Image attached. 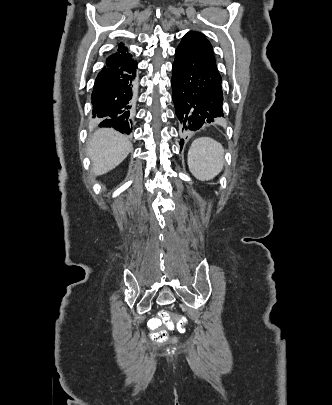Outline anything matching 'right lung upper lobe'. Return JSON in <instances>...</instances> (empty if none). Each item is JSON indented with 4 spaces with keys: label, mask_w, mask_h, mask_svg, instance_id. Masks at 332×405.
<instances>
[{
    "label": "right lung upper lobe",
    "mask_w": 332,
    "mask_h": 405,
    "mask_svg": "<svg viewBox=\"0 0 332 405\" xmlns=\"http://www.w3.org/2000/svg\"><path fill=\"white\" fill-rule=\"evenodd\" d=\"M118 52L109 56L106 60V66L121 65L132 59V55L127 54V48L118 44Z\"/></svg>",
    "instance_id": "right-lung-upper-lobe-1"
}]
</instances>
